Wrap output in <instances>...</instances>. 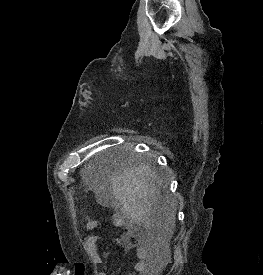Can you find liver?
Returning a JSON list of instances; mask_svg holds the SVG:
<instances>
[{"mask_svg":"<svg viewBox=\"0 0 263 275\" xmlns=\"http://www.w3.org/2000/svg\"><path fill=\"white\" fill-rule=\"evenodd\" d=\"M83 174H89L83 170ZM115 209L131 223L151 226L158 219L175 226L176 204L161 195V179L149 165L126 167L109 177ZM102 189H97L100 192Z\"/></svg>","mask_w":263,"mask_h":275,"instance_id":"obj_1","label":"liver"}]
</instances>
